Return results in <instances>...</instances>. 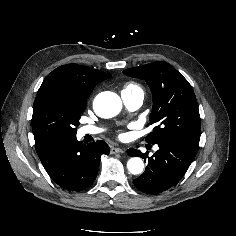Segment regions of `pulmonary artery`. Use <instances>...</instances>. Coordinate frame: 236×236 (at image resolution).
<instances>
[{
  "instance_id": "1",
  "label": "pulmonary artery",
  "mask_w": 236,
  "mask_h": 236,
  "mask_svg": "<svg viewBox=\"0 0 236 236\" xmlns=\"http://www.w3.org/2000/svg\"><path fill=\"white\" fill-rule=\"evenodd\" d=\"M121 96L125 105L130 110L138 109L142 105L144 99L143 91H137L134 93L122 92ZM100 132H102V129L95 126H83L79 129L80 136L95 135L99 134Z\"/></svg>"
}]
</instances>
